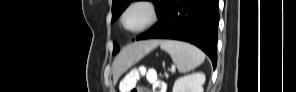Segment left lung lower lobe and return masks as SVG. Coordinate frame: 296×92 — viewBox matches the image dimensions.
Returning <instances> with one entry per match:
<instances>
[{
	"mask_svg": "<svg viewBox=\"0 0 296 92\" xmlns=\"http://www.w3.org/2000/svg\"><path fill=\"white\" fill-rule=\"evenodd\" d=\"M218 0H169L162 23L137 37L175 39L192 43L217 63Z\"/></svg>",
	"mask_w": 296,
	"mask_h": 92,
	"instance_id": "obj_1",
	"label": "left lung lower lobe"
}]
</instances>
